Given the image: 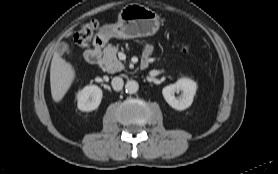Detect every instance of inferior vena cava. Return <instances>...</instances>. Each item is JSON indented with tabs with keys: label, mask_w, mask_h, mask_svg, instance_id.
<instances>
[{
	"label": "inferior vena cava",
	"mask_w": 278,
	"mask_h": 174,
	"mask_svg": "<svg viewBox=\"0 0 278 174\" xmlns=\"http://www.w3.org/2000/svg\"><path fill=\"white\" fill-rule=\"evenodd\" d=\"M111 84L114 90L120 91L123 88L124 81L121 77H114Z\"/></svg>",
	"instance_id": "obj_1"
}]
</instances>
